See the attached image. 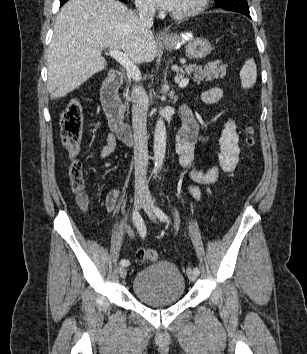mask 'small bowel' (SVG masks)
I'll list each match as a JSON object with an SVG mask.
<instances>
[{
  "mask_svg": "<svg viewBox=\"0 0 307 354\" xmlns=\"http://www.w3.org/2000/svg\"><path fill=\"white\" fill-rule=\"evenodd\" d=\"M221 97L222 90L218 87H213L201 94L202 101L208 104L217 102ZM183 118V125L177 134L176 151L179 155L180 164L188 171L190 178L196 184L189 188L190 194L198 200L201 197V192L197 185L212 184L218 180L221 172L229 173L235 169L240 153L238 135L235 123L232 120H228L222 132L218 165L208 169H198L193 163L194 145L198 141H204L206 136L200 133L199 124L192 114L184 110ZM117 140L115 133L110 131L106 137V143L100 151V159H106L114 152ZM120 198V190L114 189L110 191L106 198L107 208L109 210L114 209Z\"/></svg>",
  "mask_w": 307,
  "mask_h": 354,
  "instance_id": "obj_1",
  "label": "small bowel"
}]
</instances>
